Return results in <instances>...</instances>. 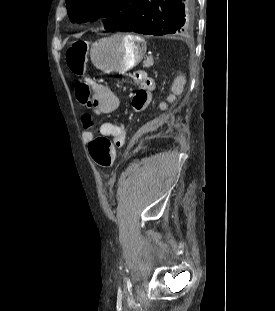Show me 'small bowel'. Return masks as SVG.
Wrapping results in <instances>:
<instances>
[{
	"label": "small bowel",
	"mask_w": 275,
	"mask_h": 311,
	"mask_svg": "<svg viewBox=\"0 0 275 311\" xmlns=\"http://www.w3.org/2000/svg\"><path fill=\"white\" fill-rule=\"evenodd\" d=\"M133 79L136 82L137 91L133 93L132 107L135 112H140L144 108L153 107L152 93H156V82L152 79L151 73H146L145 69H134ZM172 80H165L164 86L169 87L168 92H164L163 96L165 101H157L156 106L159 112H166L169 103L174 102V98H181L184 93V87H189V80H181V73H174ZM94 103L92 110L97 115H105L114 112L119 108V98L116 94L106 85L94 84ZM90 111V108H87ZM81 124L84 132L83 136L86 141L93 138L94 131L97 129L96 122L89 112H84L81 117ZM98 131L114 140L117 146H121L125 141L127 124L120 122H103L99 125Z\"/></svg>",
	"instance_id": "1"
}]
</instances>
